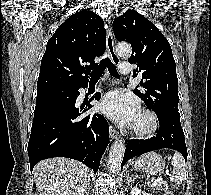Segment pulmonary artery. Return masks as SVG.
<instances>
[{
	"mask_svg": "<svg viewBox=\"0 0 211 195\" xmlns=\"http://www.w3.org/2000/svg\"><path fill=\"white\" fill-rule=\"evenodd\" d=\"M119 71L121 74L128 75L131 73V64L130 63H121L119 65Z\"/></svg>",
	"mask_w": 211,
	"mask_h": 195,
	"instance_id": "1",
	"label": "pulmonary artery"
}]
</instances>
